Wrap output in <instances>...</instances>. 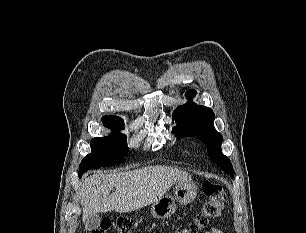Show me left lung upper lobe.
Segmentation results:
<instances>
[{"label": "left lung upper lobe", "instance_id": "1", "mask_svg": "<svg viewBox=\"0 0 306 233\" xmlns=\"http://www.w3.org/2000/svg\"><path fill=\"white\" fill-rule=\"evenodd\" d=\"M195 95L196 91L193 89L185 93L187 98ZM173 119L177 123L173 128V133L177 137L197 136L207 146L210 159L232 178L234 177L231 161L221 152L223 137L214 128L215 114L210 108L189 102L174 110Z\"/></svg>", "mask_w": 306, "mask_h": 233}]
</instances>
